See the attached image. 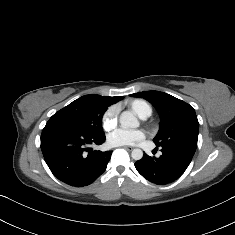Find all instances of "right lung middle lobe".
Returning a JSON list of instances; mask_svg holds the SVG:
<instances>
[{
  "mask_svg": "<svg viewBox=\"0 0 235 235\" xmlns=\"http://www.w3.org/2000/svg\"><path fill=\"white\" fill-rule=\"evenodd\" d=\"M103 114L104 112L93 110L75 100L56 112L49 121L71 125L95 136H104L102 129Z\"/></svg>",
  "mask_w": 235,
  "mask_h": 235,
  "instance_id": "1",
  "label": "right lung middle lobe"
}]
</instances>
